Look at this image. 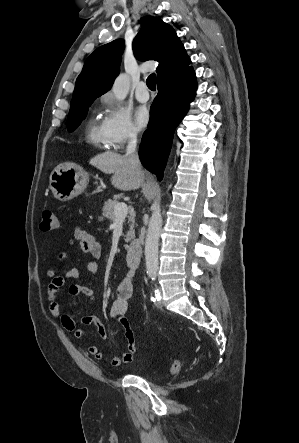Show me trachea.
Returning a JSON list of instances; mask_svg holds the SVG:
<instances>
[{
	"instance_id": "3493384b",
	"label": "trachea",
	"mask_w": 299,
	"mask_h": 443,
	"mask_svg": "<svg viewBox=\"0 0 299 443\" xmlns=\"http://www.w3.org/2000/svg\"><path fill=\"white\" fill-rule=\"evenodd\" d=\"M146 84L150 90H152V91L156 90V75H155V73H152L151 75L148 76V78L146 80Z\"/></svg>"
}]
</instances>
